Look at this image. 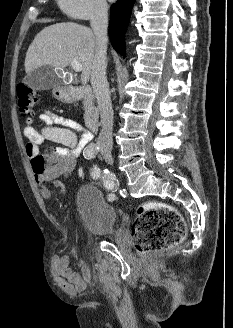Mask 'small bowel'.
<instances>
[{"label":"small bowel","instance_id":"c3829d8e","mask_svg":"<svg viewBox=\"0 0 233 328\" xmlns=\"http://www.w3.org/2000/svg\"><path fill=\"white\" fill-rule=\"evenodd\" d=\"M42 127L36 130L31 120H27L23 127V134L27 139L25 144L26 155L31 159L38 155L39 146L49 140L60 144L47 156L55 163V167L45 174H36V184L41 190L44 198H50L51 192L47 184L54 183L61 186L56 178L60 175L71 172L74 169L75 161L81 151L88 148L93 139V134L84 129L76 121L58 116L46 110L40 117ZM80 133L78 138L76 133ZM56 273L58 286L69 295L82 293L92 282V274L88 266L84 265L80 272L75 271L70 265V257L55 256L52 260Z\"/></svg>","mask_w":233,"mask_h":328}]
</instances>
